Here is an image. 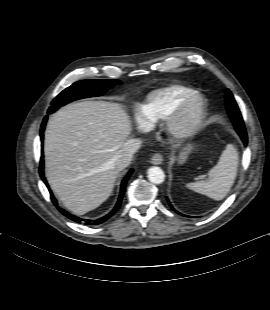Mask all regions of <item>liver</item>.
Listing matches in <instances>:
<instances>
[{"label": "liver", "mask_w": 270, "mask_h": 310, "mask_svg": "<svg viewBox=\"0 0 270 310\" xmlns=\"http://www.w3.org/2000/svg\"><path fill=\"white\" fill-rule=\"evenodd\" d=\"M132 131L123 106L74 102L53 114L44 140L48 183L63 205L81 215L108 199L119 174L112 159Z\"/></svg>", "instance_id": "obj_1"}]
</instances>
